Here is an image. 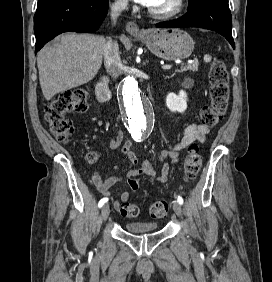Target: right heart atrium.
Returning a JSON list of instances; mask_svg holds the SVG:
<instances>
[{
	"label": "right heart atrium",
	"instance_id": "right-heart-atrium-1",
	"mask_svg": "<svg viewBox=\"0 0 272 282\" xmlns=\"http://www.w3.org/2000/svg\"><path fill=\"white\" fill-rule=\"evenodd\" d=\"M126 7H127V4H126L125 0H116L112 4V9L116 12H121V11L125 10Z\"/></svg>",
	"mask_w": 272,
	"mask_h": 282
}]
</instances>
